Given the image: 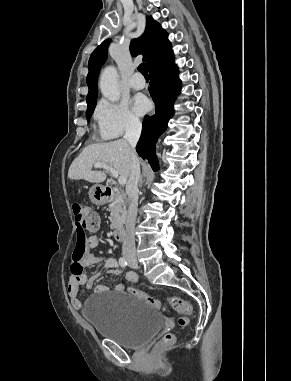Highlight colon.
I'll return each instance as SVG.
<instances>
[{"label":"colon","mask_w":291,"mask_h":381,"mask_svg":"<svg viewBox=\"0 0 291 381\" xmlns=\"http://www.w3.org/2000/svg\"><path fill=\"white\" fill-rule=\"evenodd\" d=\"M73 213L75 218V223L77 225V246L73 253V259L76 263H79L84 253V240H85V232H95L99 228V217L98 215L92 213L89 208H87L82 203H76L73 205ZM78 268H80L78 264ZM79 274V273H75ZM128 291L143 300L149 303L155 309H162V304L155 299L154 297L139 291L134 288H129ZM167 302L171 305V307L180 314L178 323L181 326H186L189 323V318L193 313V307L188 302L184 301L182 298L177 296H169L167 298ZM173 335L171 333L166 334L160 345H168L173 342Z\"/></svg>","instance_id":"1"}]
</instances>
